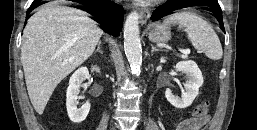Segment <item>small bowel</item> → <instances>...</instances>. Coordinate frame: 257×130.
Returning <instances> with one entry per match:
<instances>
[{"label":"small bowel","mask_w":257,"mask_h":130,"mask_svg":"<svg viewBox=\"0 0 257 130\" xmlns=\"http://www.w3.org/2000/svg\"><path fill=\"white\" fill-rule=\"evenodd\" d=\"M207 121V118L203 119H187L180 122L176 127L175 130H199Z\"/></svg>","instance_id":"small-bowel-1"}]
</instances>
